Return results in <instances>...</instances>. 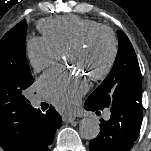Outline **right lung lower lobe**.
<instances>
[{
	"mask_svg": "<svg viewBox=\"0 0 151 151\" xmlns=\"http://www.w3.org/2000/svg\"><path fill=\"white\" fill-rule=\"evenodd\" d=\"M61 117L53 106L43 114L39 109L37 113V124L39 126V136L36 140L34 151H49L56 130L61 126Z\"/></svg>",
	"mask_w": 151,
	"mask_h": 151,
	"instance_id": "98d812e1",
	"label": "right lung lower lobe"
}]
</instances>
